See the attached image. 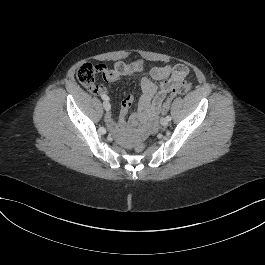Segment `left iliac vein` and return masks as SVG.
<instances>
[{"instance_id":"left-iliac-vein-1","label":"left iliac vein","mask_w":265,"mask_h":265,"mask_svg":"<svg viewBox=\"0 0 265 265\" xmlns=\"http://www.w3.org/2000/svg\"><path fill=\"white\" fill-rule=\"evenodd\" d=\"M168 122L169 121L165 117L161 118V120H160V123H161L162 126H167Z\"/></svg>"}]
</instances>
